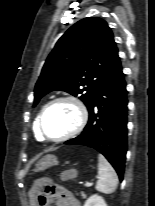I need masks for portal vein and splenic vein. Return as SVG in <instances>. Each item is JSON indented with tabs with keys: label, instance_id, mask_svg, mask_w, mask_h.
<instances>
[{
	"label": "portal vein and splenic vein",
	"instance_id": "obj_1",
	"mask_svg": "<svg viewBox=\"0 0 155 206\" xmlns=\"http://www.w3.org/2000/svg\"><path fill=\"white\" fill-rule=\"evenodd\" d=\"M84 185H85L86 187H89V186H91V183L86 182Z\"/></svg>",
	"mask_w": 155,
	"mask_h": 206
}]
</instances>
